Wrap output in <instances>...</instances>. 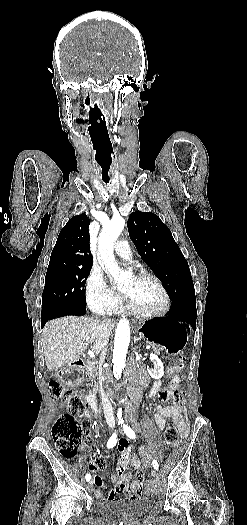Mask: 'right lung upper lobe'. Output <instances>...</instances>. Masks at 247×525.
Instances as JSON below:
<instances>
[{
  "label": "right lung upper lobe",
  "instance_id": "cb5924a9",
  "mask_svg": "<svg viewBox=\"0 0 247 525\" xmlns=\"http://www.w3.org/2000/svg\"><path fill=\"white\" fill-rule=\"evenodd\" d=\"M89 219L85 214L71 218L58 235L47 271L91 268Z\"/></svg>",
  "mask_w": 247,
  "mask_h": 525
}]
</instances>
